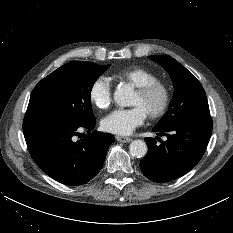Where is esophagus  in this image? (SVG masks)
I'll return each mask as SVG.
<instances>
[{"instance_id":"esophagus-1","label":"esophagus","mask_w":233,"mask_h":233,"mask_svg":"<svg viewBox=\"0 0 233 233\" xmlns=\"http://www.w3.org/2000/svg\"><path fill=\"white\" fill-rule=\"evenodd\" d=\"M116 139L119 141V142H123V143H129L132 141L131 138L129 137H123V136H117Z\"/></svg>"}]
</instances>
